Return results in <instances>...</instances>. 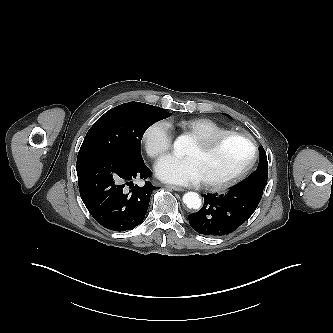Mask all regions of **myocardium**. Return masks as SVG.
Returning <instances> with one entry per match:
<instances>
[{
	"mask_svg": "<svg viewBox=\"0 0 333 333\" xmlns=\"http://www.w3.org/2000/svg\"><path fill=\"white\" fill-rule=\"evenodd\" d=\"M232 138H237L243 140L249 148V158L245 165L235 174L232 176L221 180L217 182H212V181H203L204 186L212 191H223L226 190L233 185L237 184L240 182L242 179H244L248 173L252 170L254 167L256 160H257V155H258V150L255 141L253 138L243 132H237V131H228L225 133H222L220 135L210 137V138H205V139H195L196 144L199 146L200 149L203 151H211L217 147H219L221 144H223L225 141L232 139Z\"/></svg>",
	"mask_w": 333,
	"mask_h": 333,
	"instance_id": "obj_1",
	"label": "myocardium"
}]
</instances>
